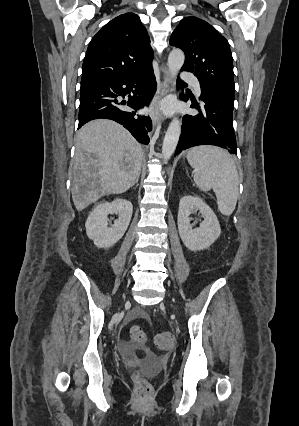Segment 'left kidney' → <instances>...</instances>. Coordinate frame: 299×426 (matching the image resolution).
<instances>
[{
    "label": "left kidney",
    "mask_w": 299,
    "mask_h": 426,
    "mask_svg": "<svg viewBox=\"0 0 299 426\" xmlns=\"http://www.w3.org/2000/svg\"><path fill=\"white\" fill-rule=\"evenodd\" d=\"M196 210H199L204 220L198 228L193 229L190 215ZM177 220L181 240L191 251L207 249L220 236V224L215 213L198 196L187 195L181 198Z\"/></svg>",
    "instance_id": "obj_1"
}]
</instances>
